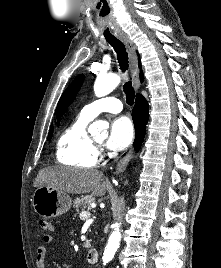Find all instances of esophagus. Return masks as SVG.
<instances>
[{
  "label": "esophagus",
  "instance_id": "esophagus-1",
  "mask_svg": "<svg viewBox=\"0 0 221 268\" xmlns=\"http://www.w3.org/2000/svg\"><path fill=\"white\" fill-rule=\"evenodd\" d=\"M119 39L124 43L126 47L129 57V66L131 71L132 83L134 88L138 90L140 87V80H139V68H138L137 55L135 51V45L129 38V36L126 34H120ZM132 155H133L132 150H129L126 153V155L119 161L116 167L117 174L122 173L126 169L130 159L132 158Z\"/></svg>",
  "mask_w": 221,
  "mask_h": 268
}]
</instances>
